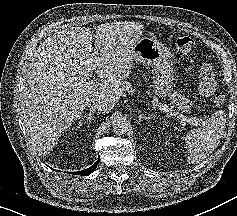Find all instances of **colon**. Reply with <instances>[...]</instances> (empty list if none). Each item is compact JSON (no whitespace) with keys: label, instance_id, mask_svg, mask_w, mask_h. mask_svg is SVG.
Segmentation results:
<instances>
[{"label":"colon","instance_id":"obj_1","mask_svg":"<svg viewBox=\"0 0 237 216\" xmlns=\"http://www.w3.org/2000/svg\"><path fill=\"white\" fill-rule=\"evenodd\" d=\"M175 46L182 53H189L194 47V40L189 36H179L175 40ZM225 101V96L222 93H217L214 96V102L217 105H222Z\"/></svg>","mask_w":237,"mask_h":216}]
</instances>
